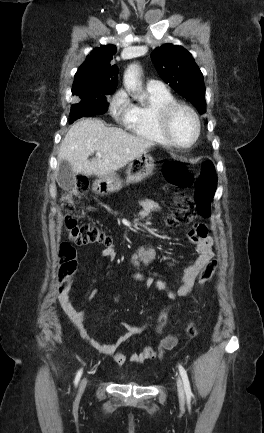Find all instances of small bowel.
<instances>
[{
	"instance_id": "small-bowel-1",
	"label": "small bowel",
	"mask_w": 264,
	"mask_h": 433,
	"mask_svg": "<svg viewBox=\"0 0 264 433\" xmlns=\"http://www.w3.org/2000/svg\"><path fill=\"white\" fill-rule=\"evenodd\" d=\"M140 205L143 215H147L152 211H157L160 209V205L153 200H144L140 203ZM189 239L195 244L197 257L193 264L184 269L181 285L179 286L177 292L170 291L163 280L154 279L150 276L133 275L131 280L140 281L148 288L155 287L158 290L165 292L172 300L189 295L195 284L198 274L204 268L207 262L213 257L212 240L208 236L205 225H194L189 231ZM101 256L109 260H114L116 253L113 245L106 246L102 251ZM71 288L72 283H68L58 295V301L65 315L74 325L83 340H85L97 351L104 354L113 355L117 364L123 365L127 360L132 363H143L150 359H156L159 358L161 353H163L165 350H170L176 345L178 337L174 334H171L161 339L154 345H148L144 347L139 352L130 353L128 355L123 353L120 350V347L133 336L143 333L148 328V324L133 326L127 323H122L121 326L125 332L115 341L110 343L96 341L90 337L86 328L84 327V309L76 308L71 302ZM96 292V288H91L89 292L90 301L94 299Z\"/></svg>"
}]
</instances>
